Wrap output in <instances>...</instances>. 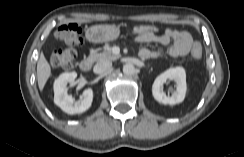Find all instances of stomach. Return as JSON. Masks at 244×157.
Returning a JSON list of instances; mask_svg holds the SVG:
<instances>
[{"mask_svg": "<svg viewBox=\"0 0 244 157\" xmlns=\"http://www.w3.org/2000/svg\"><path fill=\"white\" fill-rule=\"evenodd\" d=\"M119 35L120 29L115 25H94L86 30V38L94 43L113 41Z\"/></svg>", "mask_w": 244, "mask_h": 157, "instance_id": "stomach-1", "label": "stomach"}]
</instances>
